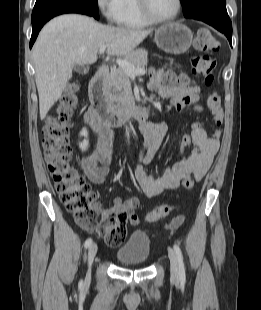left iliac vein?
Listing matches in <instances>:
<instances>
[{"mask_svg":"<svg viewBox=\"0 0 261 310\" xmlns=\"http://www.w3.org/2000/svg\"><path fill=\"white\" fill-rule=\"evenodd\" d=\"M168 256L170 259L171 278L172 280L177 281L179 279L178 261L175 252L171 248H168Z\"/></svg>","mask_w":261,"mask_h":310,"instance_id":"4c4485c4","label":"left iliac vein"}]
</instances>
